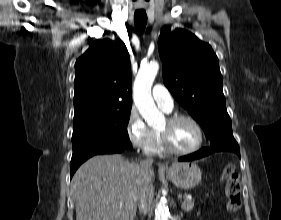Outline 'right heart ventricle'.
I'll use <instances>...</instances> for the list:
<instances>
[{"label":"right heart ventricle","mask_w":281,"mask_h":220,"mask_svg":"<svg viewBox=\"0 0 281 220\" xmlns=\"http://www.w3.org/2000/svg\"><path fill=\"white\" fill-rule=\"evenodd\" d=\"M164 152V149L161 145L158 131H153V144L149 151L150 154H161Z\"/></svg>","instance_id":"right-heart-ventricle-1"}]
</instances>
